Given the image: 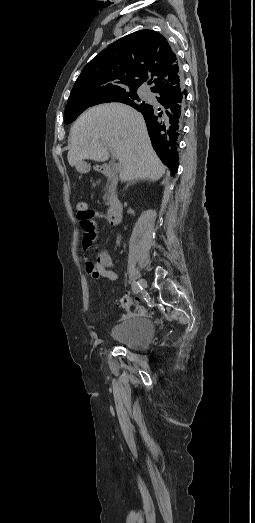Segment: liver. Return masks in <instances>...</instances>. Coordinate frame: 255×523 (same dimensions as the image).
Here are the masks:
<instances>
[{
	"mask_svg": "<svg viewBox=\"0 0 255 523\" xmlns=\"http://www.w3.org/2000/svg\"><path fill=\"white\" fill-rule=\"evenodd\" d=\"M68 146V162L78 172L83 160L106 162L108 150L122 166L121 182L137 178L156 182L166 172L152 148L142 114L125 104H101L84 112L70 128Z\"/></svg>",
	"mask_w": 255,
	"mask_h": 523,
	"instance_id": "obj_1",
	"label": "liver"
}]
</instances>
